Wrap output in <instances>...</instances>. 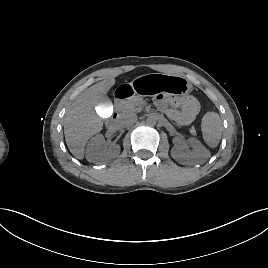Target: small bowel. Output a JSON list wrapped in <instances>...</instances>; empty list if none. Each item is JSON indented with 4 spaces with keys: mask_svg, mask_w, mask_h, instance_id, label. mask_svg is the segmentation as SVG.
<instances>
[{
    "mask_svg": "<svg viewBox=\"0 0 268 268\" xmlns=\"http://www.w3.org/2000/svg\"><path fill=\"white\" fill-rule=\"evenodd\" d=\"M156 106L181 126L190 125L200 110L199 102L193 96L176 98L160 95Z\"/></svg>",
    "mask_w": 268,
    "mask_h": 268,
    "instance_id": "1",
    "label": "small bowel"
}]
</instances>
